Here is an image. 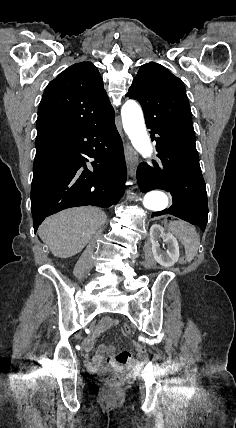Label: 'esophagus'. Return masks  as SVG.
<instances>
[{
    "instance_id": "34e87169",
    "label": "esophagus",
    "mask_w": 236,
    "mask_h": 428,
    "mask_svg": "<svg viewBox=\"0 0 236 428\" xmlns=\"http://www.w3.org/2000/svg\"><path fill=\"white\" fill-rule=\"evenodd\" d=\"M126 148H127V151L129 152V156H128L129 173L133 178H135V176H136V169H135L136 158L133 156L132 147L130 145H127Z\"/></svg>"
}]
</instances>
